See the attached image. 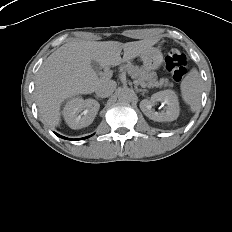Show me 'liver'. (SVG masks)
I'll list each match as a JSON object with an SVG mask.
<instances>
[{"label":"liver","instance_id":"1","mask_svg":"<svg viewBox=\"0 0 232 232\" xmlns=\"http://www.w3.org/2000/svg\"><path fill=\"white\" fill-rule=\"evenodd\" d=\"M156 39L118 41L73 40L58 48L37 73L35 96L40 119L51 127L61 121V104L69 97L93 93L101 80L91 66L119 65L150 49ZM124 51L123 59L120 54Z\"/></svg>","mask_w":232,"mask_h":232}]
</instances>
